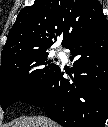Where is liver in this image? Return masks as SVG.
<instances>
[{
  "label": "liver",
  "instance_id": "6515ba94",
  "mask_svg": "<svg viewBox=\"0 0 108 127\" xmlns=\"http://www.w3.org/2000/svg\"><path fill=\"white\" fill-rule=\"evenodd\" d=\"M13 127H59V125L44 116H30L16 122Z\"/></svg>",
  "mask_w": 108,
  "mask_h": 127
}]
</instances>
